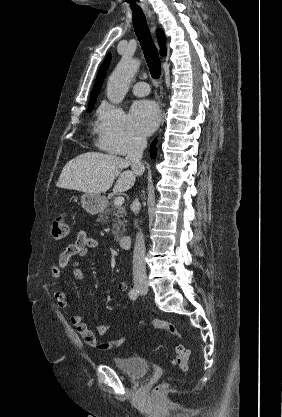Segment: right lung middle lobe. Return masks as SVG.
<instances>
[{"label":"right lung middle lobe","instance_id":"1","mask_svg":"<svg viewBox=\"0 0 282 417\" xmlns=\"http://www.w3.org/2000/svg\"><path fill=\"white\" fill-rule=\"evenodd\" d=\"M97 96L98 95L90 96L89 105H88V109H87L88 112H91L93 110Z\"/></svg>","mask_w":282,"mask_h":417}]
</instances>
